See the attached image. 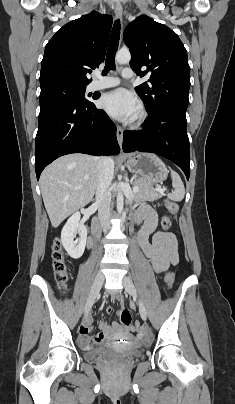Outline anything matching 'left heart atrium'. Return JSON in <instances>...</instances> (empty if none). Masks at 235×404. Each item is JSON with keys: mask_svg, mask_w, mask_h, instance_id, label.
Instances as JSON below:
<instances>
[{"mask_svg": "<svg viewBox=\"0 0 235 404\" xmlns=\"http://www.w3.org/2000/svg\"><path fill=\"white\" fill-rule=\"evenodd\" d=\"M101 106L108 114L123 121L135 119L140 110L138 99L125 89H117L104 95Z\"/></svg>", "mask_w": 235, "mask_h": 404, "instance_id": "left-heart-atrium-1", "label": "left heart atrium"}]
</instances>
